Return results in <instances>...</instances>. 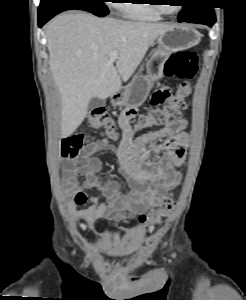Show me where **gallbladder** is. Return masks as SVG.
<instances>
[{"label":"gallbladder","instance_id":"obj_1","mask_svg":"<svg viewBox=\"0 0 246 300\" xmlns=\"http://www.w3.org/2000/svg\"><path fill=\"white\" fill-rule=\"evenodd\" d=\"M105 105V101L103 99H100L98 97L91 98L88 109L89 111H93L94 109L101 108Z\"/></svg>","mask_w":246,"mask_h":300}]
</instances>
